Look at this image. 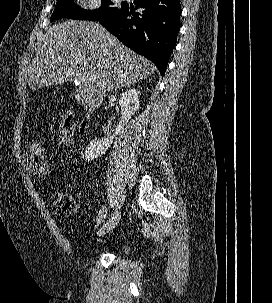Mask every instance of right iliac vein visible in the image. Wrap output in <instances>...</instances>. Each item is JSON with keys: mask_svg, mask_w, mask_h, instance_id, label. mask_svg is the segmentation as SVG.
Returning a JSON list of instances; mask_svg holds the SVG:
<instances>
[{"mask_svg": "<svg viewBox=\"0 0 272 303\" xmlns=\"http://www.w3.org/2000/svg\"><path fill=\"white\" fill-rule=\"evenodd\" d=\"M120 211L117 210V215H115L114 221H109V223L99 231V237H103L105 234L111 232L120 220Z\"/></svg>", "mask_w": 272, "mask_h": 303, "instance_id": "right-iliac-vein-1", "label": "right iliac vein"}]
</instances>
